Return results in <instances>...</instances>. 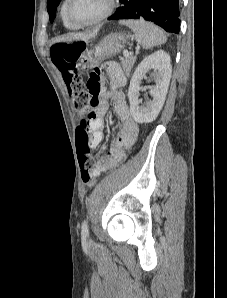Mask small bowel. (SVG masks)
Listing matches in <instances>:
<instances>
[{
  "label": "small bowel",
  "instance_id": "1",
  "mask_svg": "<svg viewBox=\"0 0 227 298\" xmlns=\"http://www.w3.org/2000/svg\"><path fill=\"white\" fill-rule=\"evenodd\" d=\"M101 68H107L113 78L114 85L106 91L103 87L102 69H93L86 82L87 92H90L89 103L94 110H89V125L85 126L90 136V149L97 148L104 138L105 117L112 102L113 109L120 120V129L117 136L112 140L107 154L95 161L91 173L93 177L115 167L124 156V151L131 148L139 132L137 122L131 116L127 104L126 95L119 89L125 83V76L117 63H101Z\"/></svg>",
  "mask_w": 227,
  "mask_h": 298
}]
</instances>
